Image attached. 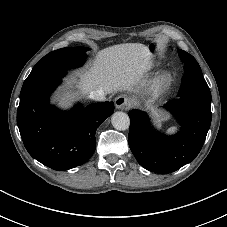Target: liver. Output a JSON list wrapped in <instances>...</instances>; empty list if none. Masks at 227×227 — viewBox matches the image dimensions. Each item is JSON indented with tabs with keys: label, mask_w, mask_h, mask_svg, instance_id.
<instances>
[{
	"label": "liver",
	"mask_w": 227,
	"mask_h": 227,
	"mask_svg": "<svg viewBox=\"0 0 227 227\" xmlns=\"http://www.w3.org/2000/svg\"><path fill=\"white\" fill-rule=\"evenodd\" d=\"M152 55L141 43H124L100 50L91 68L80 76L79 93L73 97L86 95L102 89L110 94L118 91H132L150 65Z\"/></svg>",
	"instance_id": "obj_1"
}]
</instances>
